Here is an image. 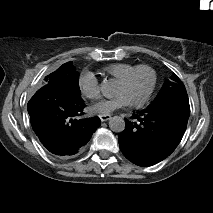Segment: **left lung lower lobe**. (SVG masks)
<instances>
[{
  "label": "left lung lower lobe",
  "instance_id": "left-lung-lower-lobe-1",
  "mask_svg": "<svg viewBox=\"0 0 213 213\" xmlns=\"http://www.w3.org/2000/svg\"><path fill=\"white\" fill-rule=\"evenodd\" d=\"M125 118L119 145L127 159L139 166H151L170 155L181 141L189 114L172 105L142 110Z\"/></svg>",
  "mask_w": 213,
  "mask_h": 213
}]
</instances>
